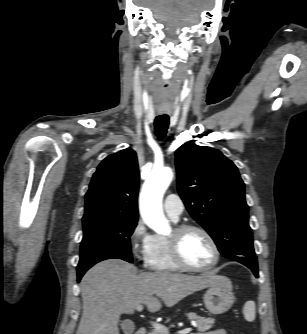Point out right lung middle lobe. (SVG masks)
Listing matches in <instances>:
<instances>
[{
  "label": "right lung middle lobe",
  "instance_id": "right-lung-middle-lobe-1",
  "mask_svg": "<svg viewBox=\"0 0 307 334\" xmlns=\"http://www.w3.org/2000/svg\"><path fill=\"white\" fill-rule=\"evenodd\" d=\"M137 220L121 218H83L84 236L81 242L77 273H85L94 264L111 258L132 262L130 236Z\"/></svg>",
  "mask_w": 307,
  "mask_h": 334
}]
</instances>
